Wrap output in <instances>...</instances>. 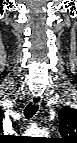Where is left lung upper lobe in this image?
<instances>
[{"instance_id":"left-lung-upper-lobe-1","label":"left lung upper lobe","mask_w":77,"mask_h":143,"mask_svg":"<svg viewBox=\"0 0 77 143\" xmlns=\"http://www.w3.org/2000/svg\"><path fill=\"white\" fill-rule=\"evenodd\" d=\"M60 128L59 132L64 143H70L77 138V110L70 107H63L59 111Z\"/></svg>"}]
</instances>
